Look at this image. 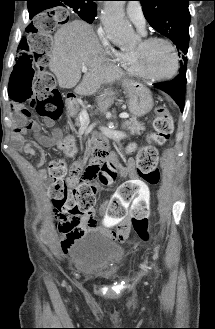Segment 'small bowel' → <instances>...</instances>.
<instances>
[{
  "mask_svg": "<svg viewBox=\"0 0 215 329\" xmlns=\"http://www.w3.org/2000/svg\"><path fill=\"white\" fill-rule=\"evenodd\" d=\"M47 124L51 123L47 122ZM27 128L16 127L15 135L18 148L33 157H36L44 148L54 146L60 136L57 130L51 137L36 133V140L29 141L25 139ZM83 166V161L76 162L71 167L70 173L83 169ZM120 174L129 178L126 182H120V187L116 188L111 200L101 205L99 209L101 217L107 219L104 225L98 223L94 210L86 217L68 221H60L59 214L54 211L55 218L59 220L58 230L64 235L60 245L63 254L70 253L72 244L89 231H102L118 241H124L129 236L130 218H151V208L147 199H150L152 190L151 187H147V182H143L142 178H137L133 160H129L126 166L121 168ZM39 175L43 176L44 171H39ZM68 179L71 183L76 182L72 174ZM108 227H118V230L113 232Z\"/></svg>",
  "mask_w": 215,
  "mask_h": 329,
  "instance_id": "c3829d8e",
  "label": "small bowel"
}]
</instances>
